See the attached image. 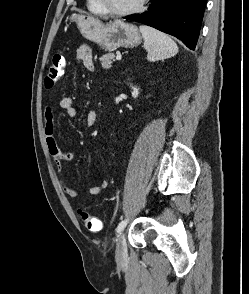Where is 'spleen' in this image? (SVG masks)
<instances>
[{
	"label": "spleen",
	"instance_id": "spleen-1",
	"mask_svg": "<svg viewBox=\"0 0 249 294\" xmlns=\"http://www.w3.org/2000/svg\"><path fill=\"white\" fill-rule=\"evenodd\" d=\"M139 29L149 61L167 59L178 53L177 44L167 34L146 25H140Z\"/></svg>",
	"mask_w": 249,
	"mask_h": 294
}]
</instances>
